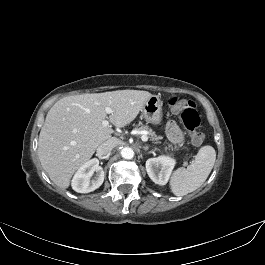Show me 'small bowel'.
Segmentation results:
<instances>
[{
    "label": "small bowel",
    "mask_w": 265,
    "mask_h": 265,
    "mask_svg": "<svg viewBox=\"0 0 265 265\" xmlns=\"http://www.w3.org/2000/svg\"><path fill=\"white\" fill-rule=\"evenodd\" d=\"M166 131L169 139L177 144H180L184 140V136L178 127V125L174 121L168 122L166 126Z\"/></svg>",
    "instance_id": "small-bowel-1"
}]
</instances>
